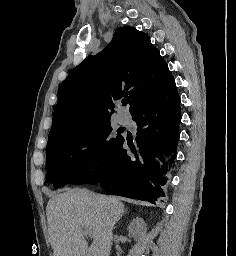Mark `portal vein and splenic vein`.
Listing matches in <instances>:
<instances>
[{"label":"portal vein and splenic vein","mask_w":236,"mask_h":256,"mask_svg":"<svg viewBox=\"0 0 236 256\" xmlns=\"http://www.w3.org/2000/svg\"><path fill=\"white\" fill-rule=\"evenodd\" d=\"M83 234H84V236H86V238H91V232H90V228H88V226H85Z\"/></svg>","instance_id":"portal-vein-and-splenic-vein-1"}]
</instances>
